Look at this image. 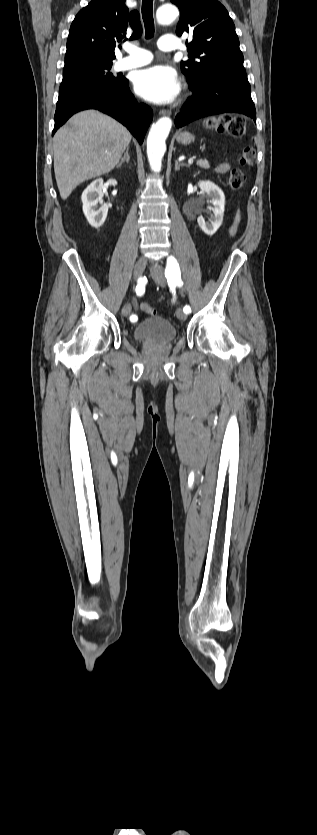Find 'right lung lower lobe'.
Returning <instances> with one entry per match:
<instances>
[{
	"instance_id": "1",
	"label": "right lung lower lobe",
	"mask_w": 317,
	"mask_h": 835,
	"mask_svg": "<svg viewBox=\"0 0 317 835\" xmlns=\"http://www.w3.org/2000/svg\"><path fill=\"white\" fill-rule=\"evenodd\" d=\"M127 84L124 78L121 83H93L60 93L52 136L73 114L94 108L125 125L141 144L153 113L134 98Z\"/></svg>"
}]
</instances>
